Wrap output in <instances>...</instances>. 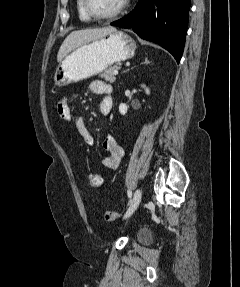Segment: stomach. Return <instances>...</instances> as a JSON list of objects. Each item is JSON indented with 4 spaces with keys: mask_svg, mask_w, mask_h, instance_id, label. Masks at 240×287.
I'll list each match as a JSON object with an SVG mask.
<instances>
[{
    "mask_svg": "<svg viewBox=\"0 0 240 287\" xmlns=\"http://www.w3.org/2000/svg\"><path fill=\"white\" fill-rule=\"evenodd\" d=\"M136 45L123 31L84 43L61 61L54 75L55 85L62 87L95 76L114 63L134 56Z\"/></svg>",
    "mask_w": 240,
    "mask_h": 287,
    "instance_id": "0dacf381",
    "label": "stomach"
}]
</instances>
